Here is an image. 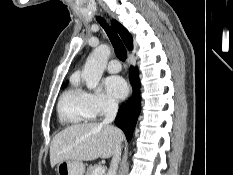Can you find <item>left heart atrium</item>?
Instances as JSON below:
<instances>
[{"instance_id":"left-heart-atrium-1","label":"left heart atrium","mask_w":233,"mask_h":175,"mask_svg":"<svg viewBox=\"0 0 233 175\" xmlns=\"http://www.w3.org/2000/svg\"><path fill=\"white\" fill-rule=\"evenodd\" d=\"M107 91L117 99H124L128 94V87L123 78L111 76L105 80Z\"/></svg>"}]
</instances>
